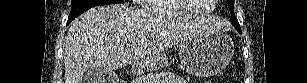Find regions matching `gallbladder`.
Segmentation results:
<instances>
[{
	"label": "gallbladder",
	"instance_id": "obj_1",
	"mask_svg": "<svg viewBox=\"0 0 307 83\" xmlns=\"http://www.w3.org/2000/svg\"><path fill=\"white\" fill-rule=\"evenodd\" d=\"M117 76L113 71L101 68L89 69L83 76L82 83H116Z\"/></svg>",
	"mask_w": 307,
	"mask_h": 83
}]
</instances>
